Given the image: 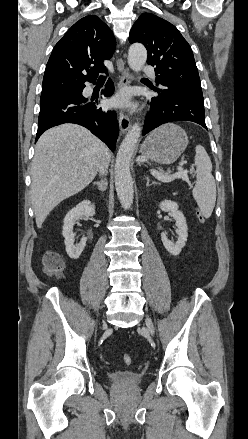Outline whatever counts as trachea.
<instances>
[{
  "instance_id": "3493384b",
  "label": "trachea",
  "mask_w": 248,
  "mask_h": 439,
  "mask_svg": "<svg viewBox=\"0 0 248 439\" xmlns=\"http://www.w3.org/2000/svg\"><path fill=\"white\" fill-rule=\"evenodd\" d=\"M100 79H104V77H100Z\"/></svg>"
}]
</instances>
